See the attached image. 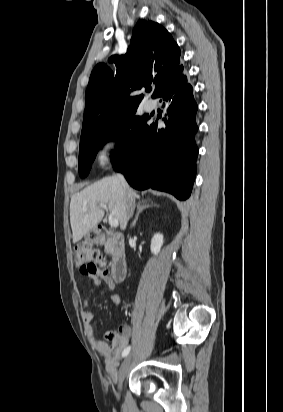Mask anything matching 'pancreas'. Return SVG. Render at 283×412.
<instances>
[{
  "label": "pancreas",
  "mask_w": 283,
  "mask_h": 412,
  "mask_svg": "<svg viewBox=\"0 0 283 412\" xmlns=\"http://www.w3.org/2000/svg\"><path fill=\"white\" fill-rule=\"evenodd\" d=\"M105 252H109V248L107 246H105Z\"/></svg>",
  "instance_id": "obj_1"
}]
</instances>
